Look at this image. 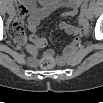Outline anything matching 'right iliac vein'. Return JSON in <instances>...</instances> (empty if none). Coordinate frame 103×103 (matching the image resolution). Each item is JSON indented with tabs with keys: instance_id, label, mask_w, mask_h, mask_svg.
<instances>
[{
	"instance_id": "right-iliac-vein-1",
	"label": "right iliac vein",
	"mask_w": 103,
	"mask_h": 103,
	"mask_svg": "<svg viewBox=\"0 0 103 103\" xmlns=\"http://www.w3.org/2000/svg\"><path fill=\"white\" fill-rule=\"evenodd\" d=\"M7 11H8V14H9V15H12V14L14 13V11H13V9H12V8H8V10H7Z\"/></svg>"
}]
</instances>
